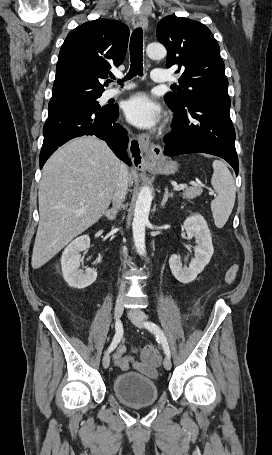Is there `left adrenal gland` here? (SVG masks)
<instances>
[{
    "instance_id": "obj_1",
    "label": "left adrenal gland",
    "mask_w": 272,
    "mask_h": 455,
    "mask_svg": "<svg viewBox=\"0 0 272 455\" xmlns=\"http://www.w3.org/2000/svg\"><path fill=\"white\" fill-rule=\"evenodd\" d=\"M173 195L171 193L168 192V188H165V192H164V196H163V199H162V202H161V207H164L167 200L169 198H172Z\"/></svg>"
}]
</instances>
